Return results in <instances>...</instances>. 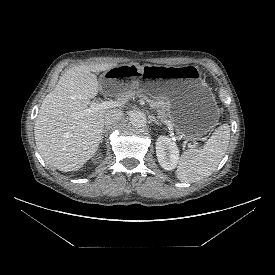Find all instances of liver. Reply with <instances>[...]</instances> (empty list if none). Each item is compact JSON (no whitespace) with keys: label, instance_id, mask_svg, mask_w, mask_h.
<instances>
[{"label":"liver","instance_id":"1","mask_svg":"<svg viewBox=\"0 0 275 275\" xmlns=\"http://www.w3.org/2000/svg\"><path fill=\"white\" fill-rule=\"evenodd\" d=\"M115 66V63L74 66L44 98L34 136L47 164L63 172L77 171L94 156L102 140L105 114L112 109L85 116L76 113L87 109L90 99L101 90L95 73Z\"/></svg>","mask_w":275,"mask_h":275}]
</instances>
